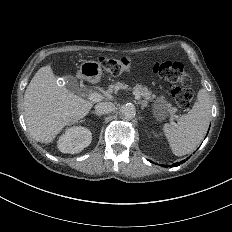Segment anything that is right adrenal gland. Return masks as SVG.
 I'll return each mask as SVG.
<instances>
[{"instance_id": "1", "label": "right adrenal gland", "mask_w": 232, "mask_h": 232, "mask_svg": "<svg viewBox=\"0 0 232 232\" xmlns=\"http://www.w3.org/2000/svg\"><path fill=\"white\" fill-rule=\"evenodd\" d=\"M91 113H92V114L97 115L98 117H100V116H101V114H100V113H98V112H96V111H92Z\"/></svg>"}]
</instances>
